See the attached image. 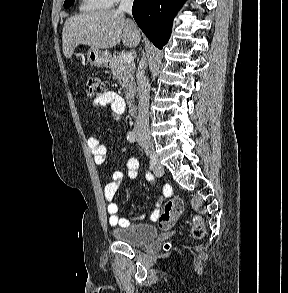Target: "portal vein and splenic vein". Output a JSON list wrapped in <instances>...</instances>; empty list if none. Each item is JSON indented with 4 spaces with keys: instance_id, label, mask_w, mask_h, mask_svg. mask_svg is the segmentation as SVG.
<instances>
[{
    "instance_id": "1",
    "label": "portal vein and splenic vein",
    "mask_w": 288,
    "mask_h": 293,
    "mask_svg": "<svg viewBox=\"0 0 288 293\" xmlns=\"http://www.w3.org/2000/svg\"><path fill=\"white\" fill-rule=\"evenodd\" d=\"M122 59H123V61L130 63L134 60V57H133L132 53H124L122 55Z\"/></svg>"
}]
</instances>
